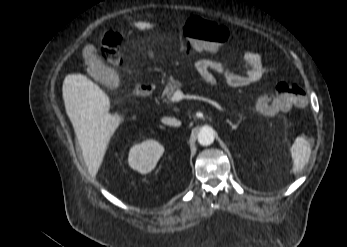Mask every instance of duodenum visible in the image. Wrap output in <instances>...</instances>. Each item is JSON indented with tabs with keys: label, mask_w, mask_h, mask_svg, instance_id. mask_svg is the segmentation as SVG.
<instances>
[{
	"label": "duodenum",
	"mask_w": 347,
	"mask_h": 247,
	"mask_svg": "<svg viewBox=\"0 0 347 247\" xmlns=\"http://www.w3.org/2000/svg\"><path fill=\"white\" fill-rule=\"evenodd\" d=\"M153 89V84L141 83L135 87L134 94L138 97H146L152 93Z\"/></svg>",
	"instance_id": "obj_1"
}]
</instances>
